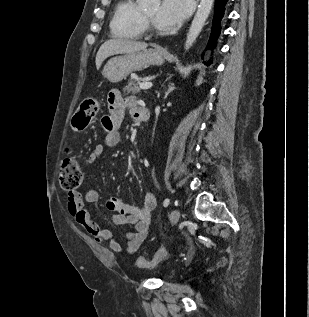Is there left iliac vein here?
Here are the masks:
<instances>
[{
    "label": "left iliac vein",
    "instance_id": "4c4485c4",
    "mask_svg": "<svg viewBox=\"0 0 309 317\" xmlns=\"http://www.w3.org/2000/svg\"><path fill=\"white\" fill-rule=\"evenodd\" d=\"M180 219V211L178 209H174L170 216V224L175 225Z\"/></svg>",
    "mask_w": 309,
    "mask_h": 317
}]
</instances>
